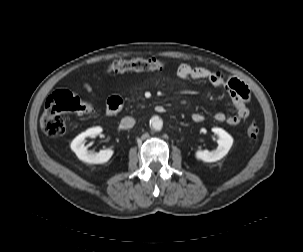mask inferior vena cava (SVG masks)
Returning a JSON list of instances; mask_svg holds the SVG:
<instances>
[{
	"label": "inferior vena cava",
	"mask_w": 303,
	"mask_h": 252,
	"mask_svg": "<svg viewBox=\"0 0 303 252\" xmlns=\"http://www.w3.org/2000/svg\"><path fill=\"white\" fill-rule=\"evenodd\" d=\"M135 124V120L134 118L132 117H124L122 120H121V125L125 128V129H129V128H132Z\"/></svg>",
	"instance_id": "inferior-vena-cava-1"
}]
</instances>
